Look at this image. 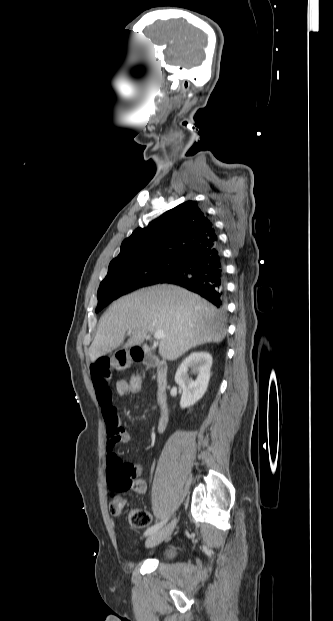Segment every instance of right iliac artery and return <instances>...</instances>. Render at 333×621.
Wrapping results in <instances>:
<instances>
[{"label": "right iliac artery", "instance_id": "right-iliac-artery-1", "mask_svg": "<svg viewBox=\"0 0 333 621\" xmlns=\"http://www.w3.org/2000/svg\"><path fill=\"white\" fill-rule=\"evenodd\" d=\"M166 522H167V519H165V520H163V521H161V522H159V523H156L155 525H153V526L149 527V528L145 531L144 535H145V536H149V535L153 534V533H154V532H156L158 529H160V528H161V527H162V526H163Z\"/></svg>", "mask_w": 333, "mask_h": 621}]
</instances>
